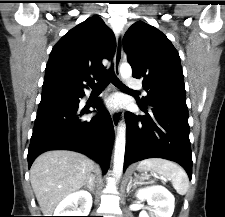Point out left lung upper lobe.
<instances>
[{"mask_svg": "<svg viewBox=\"0 0 225 217\" xmlns=\"http://www.w3.org/2000/svg\"><path fill=\"white\" fill-rule=\"evenodd\" d=\"M123 45L133 77L143 78L144 102L186 101L179 54L161 31L138 21L126 32Z\"/></svg>", "mask_w": 225, "mask_h": 217, "instance_id": "5c2ea615", "label": "left lung upper lobe"}]
</instances>
